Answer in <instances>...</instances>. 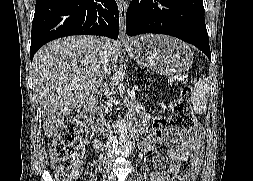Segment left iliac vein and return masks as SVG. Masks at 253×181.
<instances>
[{
    "label": "left iliac vein",
    "mask_w": 253,
    "mask_h": 181,
    "mask_svg": "<svg viewBox=\"0 0 253 181\" xmlns=\"http://www.w3.org/2000/svg\"><path fill=\"white\" fill-rule=\"evenodd\" d=\"M128 181H133V180L131 178H129Z\"/></svg>",
    "instance_id": "4c4485c4"
}]
</instances>
